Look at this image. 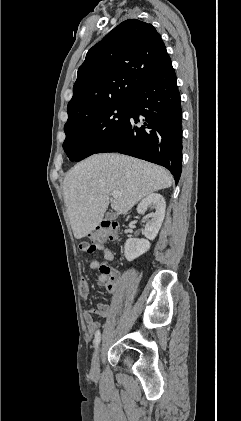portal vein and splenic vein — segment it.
<instances>
[{
    "label": "portal vein and splenic vein",
    "instance_id": "obj_1",
    "mask_svg": "<svg viewBox=\"0 0 241 421\" xmlns=\"http://www.w3.org/2000/svg\"><path fill=\"white\" fill-rule=\"evenodd\" d=\"M121 195V193H119L118 191H113L112 193H111V196L113 197V198H117L118 196H120Z\"/></svg>",
    "mask_w": 241,
    "mask_h": 421
}]
</instances>
